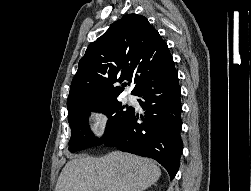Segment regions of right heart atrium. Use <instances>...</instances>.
Here are the masks:
<instances>
[{
	"instance_id": "1",
	"label": "right heart atrium",
	"mask_w": 251,
	"mask_h": 191,
	"mask_svg": "<svg viewBox=\"0 0 251 191\" xmlns=\"http://www.w3.org/2000/svg\"><path fill=\"white\" fill-rule=\"evenodd\" d=\"M88 130L96 140L106 138L111 127L110 115L102 108H91L86 113Z\"/></svg>"
}]
</instances>
